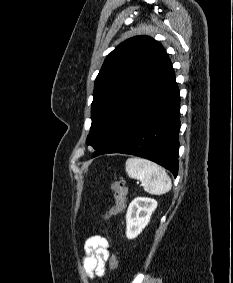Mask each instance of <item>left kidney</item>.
<instances>
[{
	"instance_id": "1",
	"label": "left kidney",
	"mask_w": 233,
	"mask_h": 283,
	"mask_svg": "<svg viewBox=\"0 0 233 283\" xmlns=\"http://www.w3.org/2000/svg\"><path fill=\"white\" fill-rule=\"evenodd\" d=\"M157 202L151 198L137 197L129 205L126 214V236L136 238L148 225Z\"/></svg>"
}]
</instances>
